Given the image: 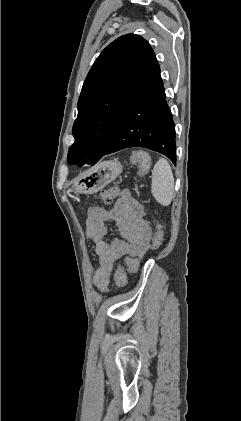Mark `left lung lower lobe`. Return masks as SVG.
<instances>
[{"instance_id":"left-lung-lower-lobe-1","label":"left lung lower lobe","mask_w":241,"mask_h":421,"mask_svg":"<svg viewBox=\"0 0 241 421\" xmlns=\"http://www.w3.org/2000/svg\"><path fill=\"white\" fill-rule=\"evenodd\" d=\"M175 135L174 121L166 103L160 68L153 53L128 103L116 135L104 155L124 148L143 147L167 156L176 164ZM91 162L94 164L97 161ZM91 162L86 160L78 166Z\"/></svg>"}]
</instances>
